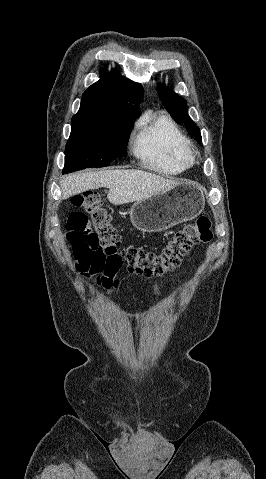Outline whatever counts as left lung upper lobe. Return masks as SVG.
I'll use <instances>...</instances> for the list:
<instances>
[{
    "label": "left lung upper lobe",
    "mask_w": 266,
    "mask_h": 479,
    "mask_svg": "<svg viewBox=\"0 0 266 479\" xmlns=\"http://www.w3.org/2000/svg\"><path fill=\"white\" fill-rule=\"evenodd\" d=\"M158 92L162 103L166 110L171 114L178 124H184L189 134L198 142L201 141V134L199 128L188 116L186 102L182 97H179L164 85H158Z\"/></svg>",
    "instance_id": "5c2ea615"
}]
</instances>
